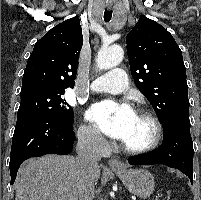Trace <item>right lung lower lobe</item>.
<instances>
[{"instance_id":"1","label":"right lung lower lobe","mask_w":201,"mask_h":200,"mask_svg":"<svg viewBox=\"0 0 201 200\" xmlns=\"http://www.w3.org/2000/svg\"><path fill=\"white\" fill-rule=\"evenodd\" d=\"M74 141L72 123L43 114L17 119L9 162L10 184L23 161L50 153L69 154Z\"/></svg>"}]
</instances>
